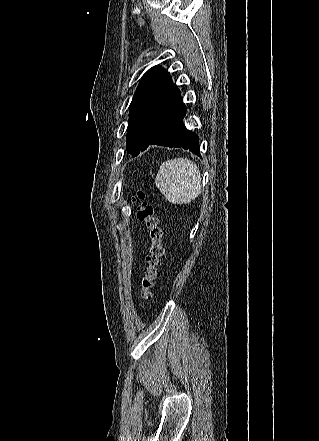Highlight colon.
<instances>
[{"label":"colon","instance_id":"1","mask_svg":"<svg viewBox=\"0 0 319 441\" xmlns=\"http://www.w3.org/2000/svg\"><path fill=\"white\" fill-rule=\"evenodd\" d=\"M134 201L138 205V219L144 223L151 240L149 254L146 257L147 266L140 285V299L142 303H147L152 298V289L160 276L159 269L164 255L163 230L159 226V220L154 214L153 206L146 200V194L143 191L136 193Z\"/></svg>","mask_w":319,"mask_h":441}]
</instances>
